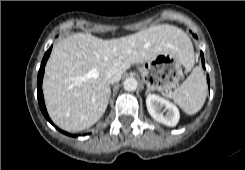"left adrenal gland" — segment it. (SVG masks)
Masks as SVG:
<instances>
[{
    "instance_id": "1",
    "label": "left adrenal gland",
    "mask_w": 245,
    "mask_h": 170,
    "mask_svg": "<svg viewBox=\"0 0 245 170\" xmlns=\"http://www.w3.org/2000/svg\"><path fill=\"white\" fill-rule=\"evenodd\" d=\"M149 92V89L146 90V94Z\"/></svg>"
}]
</instances>
